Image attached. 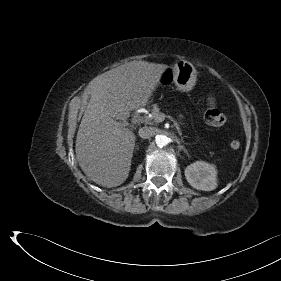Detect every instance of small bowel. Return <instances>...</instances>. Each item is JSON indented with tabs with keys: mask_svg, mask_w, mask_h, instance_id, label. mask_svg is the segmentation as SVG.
<instances>
[{
	"mask_svg": "<svg viewBox=\"0 0 281 281\" xmlns=\"http://www.w3.org/2000/svg\"><path fill=\"white\" fill-rule=\"evenodd\" d=\"M208 103H209L210 106L213 107V106L215 105V100H214V98H209Z\"/></svg>",
	"mask_w": 281,
	"mask_h": 281,
	"instance_id": "small-bowel-1",
	"label": "small bowel"
}]
</instances>
